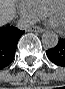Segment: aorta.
Listing matches in <instances>:
<instances>
[{"instance_id":"aorta-1","label":"aorta","mask_w":65,"mask_h":89,"mask_svg":"<svg viewBox=\"0 0 65 89\" xmlns=\"http://www.w3.org/2000/svg\"><path fill=\"white\" fill-rule=\"evenodd\" d=\"M59 41L58 35L52 31H46L42 35V43L46 49H51L57 46Z\"/></svg>"}]
</instances>
